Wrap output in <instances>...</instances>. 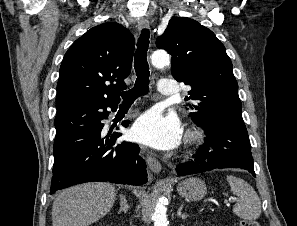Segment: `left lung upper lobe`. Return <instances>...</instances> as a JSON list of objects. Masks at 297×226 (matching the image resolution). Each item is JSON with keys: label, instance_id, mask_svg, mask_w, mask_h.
Returning a JSON list of instances; mask_svg holds the SVG:
<instances>
[{"label": "left lung upper lobe", "instance_id": "5c2ea615", "mask_svg": "<svg viewBox=\"0 0 297 226\" xmlns=\"http://www.w3.org/2000/svg\"><path fill=\"white\" fill-rule=\"evenodd\" d=\"M156 45L172 55L173 77L192 87L188 94L198 102L188 106L198 126L218 120L244 124L231 60L211 30L190 18H172Z\"/></svg>", "mask_w": 297, "mask_h": 226}]
</instances>
